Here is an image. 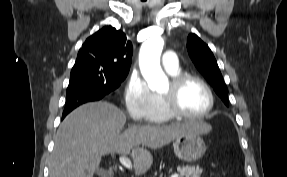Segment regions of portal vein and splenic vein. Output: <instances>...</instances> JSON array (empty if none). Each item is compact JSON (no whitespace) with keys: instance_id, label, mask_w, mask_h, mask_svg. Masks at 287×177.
Returning a JSON list of instances; mask_svg holds the SVG:
<instances>
[{"instance_id":"18ae733b","label":"portal vein and splenic vein","mask_w":287,"mask_h":177,"mask_svg":"<svg viewBox=\"0 0 287 177\" xmlns=\"http://www.w3.org/2000/svg\"><path fill=\"white\" fill-rule=\"evenodd\" d=\"M119 162L125 167V168H127V169H129V170H132V162H131V160L128 158V157H126V156H120L119 157ZM173 177H180V175L179 174H175V175H173Z\"/></svg>"}]
</instances>
